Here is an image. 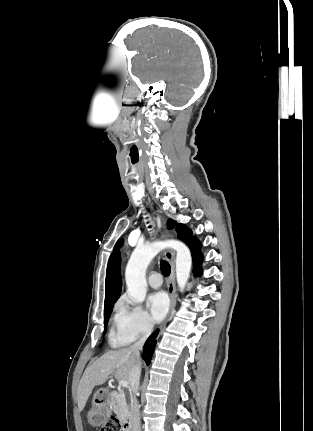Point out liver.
<instances>
[{"mask_svg":"<svg viewBox=\"0 0 313 431\" xmlns=\"http://www.w3.org/2000/svg\"><path fill=\"white\" fill-rule=\"evenodd\" d=\"M135 363L141 364L140 358H135L130 348H122L105 353L89 365L78 386V409L82 411L95 386L104 384L109 375L121 381H129L130 371Z\"/></svg>","mask_w":313,"mask_h":431,"instance_id":"liver-1","label":"liver"}]
</instances>
